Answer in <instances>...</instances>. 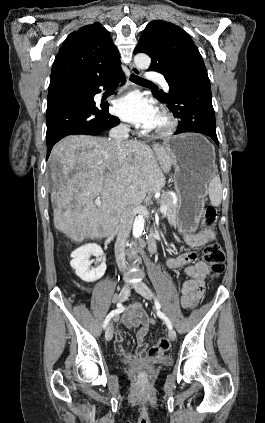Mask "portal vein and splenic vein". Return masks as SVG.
Instances as JSON below:
<instances>
[{
  "mask_svg": "<svg viewBox=\"0 0 265 423\" xmlns=\"http://www.w3.org/2000/svg\"><path fill=\"white\" fill-rule=\"evenodd\" d=\"M95 204L97 205V206H99L100 204H101V200H100V198L98 197V198H96V200H95ZM159 210H160V212L162 213V214H166V212H167V207L165 206V205H161L160 206V208H159Z\"/></svg>",
  "mask_w": 265,
  "mask_h": 423,
  "instance_id": "portal-vein-and-splenic-vein-1",
  "label": "portal vein and splenic vein"
}]
</instances>
